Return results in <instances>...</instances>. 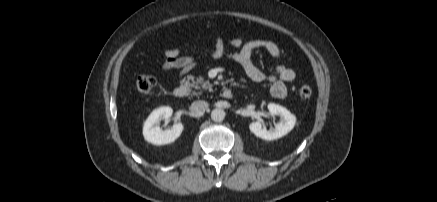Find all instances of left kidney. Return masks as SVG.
Listing matches in <instances>:
<instances>
[{
    "label": "left kidney",
    "mask_w": 437,
    "mask_h": 202,
    "mask_svg": "<svg viewBox=\"0 0 437 202\" xmlns=\"http://www.w3.org/2000/svg\"><path fill=\"white\" fill-rule=\"evenodd\" d=\"M269 113L271 115L280 116V121L275 125L272 130L262 128L260 121L252 122L249 125L250 131L257 137L264 140H275L283 137L289 133L295 126L296 118L286 108L270 103L268 105Z\"/></svg>",
    "instance_id": "obj_1"
}]
</instances>
